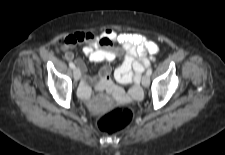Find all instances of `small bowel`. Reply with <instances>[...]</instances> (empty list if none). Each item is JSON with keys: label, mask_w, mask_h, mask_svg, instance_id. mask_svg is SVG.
<instances>
[{"label": "small bowel", "mask_w": 225, "mask_h": 155, "mask_svg": "<svg viewBox=\"0 0 225 155\" xmlns=\"http://www.w3.org/2000/svg\"><path fill=\"white\" fill-rule=\"evenodd\" d=\"M79 44L84 45L83 52L91 62H110L122 56V63L116 69L114 77L119 84L131 85L130 90L125 92L111 80L110 67L104 66L94 78L83 76L79 87V95L82 99L91 100L92 83L95 84L97 92L109 93L112 100L117 103H129L141 98L139 78L150 65V57L158 52V47L154 42L141 34L117 33L112 29H106L99 35L90 32L69 34L61 39L59 49L63 51L67 60H73L74 55L71 49ZM75 62L83 72L86 71V65L81 59H76ZM103 103L108 104L110 100H105Z\"/></svg>", "instance_id": "small-bowel-1"}]
</instances>
